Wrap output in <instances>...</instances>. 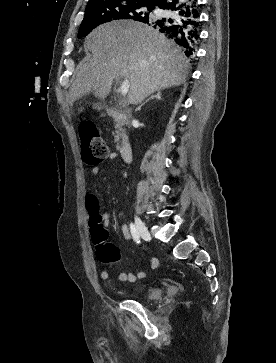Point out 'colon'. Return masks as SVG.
Masks as SVG:
<instances>
[{
  "instance_id": "obj_1",
  "label": "colon",
  "mask_w": 276,
  "mask_h": 363,
  "mask_svg": "<svg viewBox=\"0 0 276 363\" xmlns=\"http://www.w3.org/2000/svg\"><path fill=\"white\" fill-rule=\"evenodd\" d=\"M79 134L85 161L89 164L102 162L107 157L108 149L96 126L86 122L80 127ZM90 211H92V214L89 224L92 239L97 246L96 254L98 259L103 263L118 261L120 258L118 248L114 244L107 242V230L101 224L100 219L96 217L94 209H90Z\"/></svg>"
}]
</instances>
